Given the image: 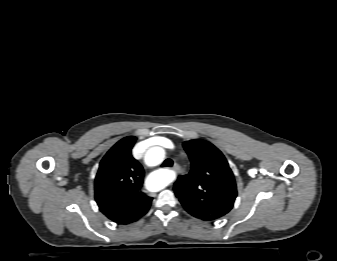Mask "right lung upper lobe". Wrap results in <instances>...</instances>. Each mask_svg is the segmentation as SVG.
Listing matches in <instances>:
<instances>
[{"instance_id": "1", "label": "right lung upper lobe", "mask_w": 337, "mask_h": 261, "mask_svg": "<svg viewBox=\"0 0 337 261\" xmlns=\"http://www.w3.org/2000/svg\"><path fill=\"white\" fill-rule=\"evenodd\" d=\"M136 137L117 142L103 157L95 178V200L100 210L118 224L137 221L152 197L142 192L144 170L131 154Z\"/></svg>"}]
</instances>
